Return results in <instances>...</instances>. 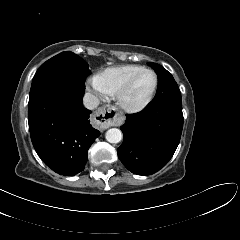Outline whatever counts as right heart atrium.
<instances>
[{"label": "right heart atrium", "instance_id": "right-heart-atrium-1", "mask_svg": "<svg viewBox=\"0 0 240 240\" xmlns=\"http://www.w3.org/2000/svg\"><path fill=\"white\" fill-rule=\"evenodd\" d=\"M89 85H90L91 89L93 91H95L96 93H98L100 95L104 94V91L100 88L96 77L92 78L89 81Z\"/></svg>", "mask_w": 240, "mask_h": 240}]
</instances>
